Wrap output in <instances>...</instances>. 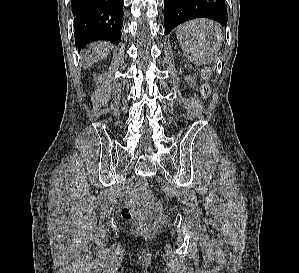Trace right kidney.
I'll return each instance as SVG.
<instances>
[{
  "label": "right kidney",
  "mask_w": 299,
  "mask_h": 273,
  "mask_svg": "<svg viewBox=\"0 0 299 273\" xmlns=\"http://www.w3.org/2000/svg\"><path fill=\"white\" fill-rule=\"evenodd\" d=\"M101 78V76L100 77H98V79H100ZM95 81L97 82V78H95Z\"/></svg>",
  "instance_id": "obj_1"
}]
</instances>
